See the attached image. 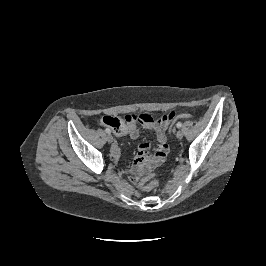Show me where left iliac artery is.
Wrapping results in <instances>:
<instances>
[{
    "label": "left iliac artery",
    "mask_w": 266,
    "mask_h": 266,
    "mask_svg": "<svg viewBox=\"0 0 266 266\" xmlns=\"http://www.w3.org/2000/svg\"><path fill=\"white\" fill-rule=\"evenodd\" d=\"M176 126H177V128H181V127H182V123H181V122H178V123L176 124Z\"/></svg>",
    "instance_id": "left-iliac-artery-1"
}]
</instances>
